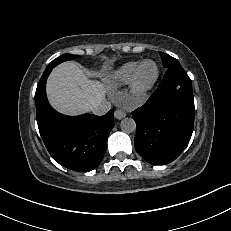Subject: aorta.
I'll list each match as a JSON object with an SVG mask.
<instances>
[{"label": "aorta", "mask_w": 231, "mask_h": 231, "mask_svg": "<svg viewBox=\"0 0 231 231\" xmlns=\"http://www.w3.org/2000/svg\"><path fill=\"white\" fill-rule=\"evenodd\" d=\"M120 128L125 133H132L136 130V123L132 118H124L121 121Z\"/></svg>", "instance_id": "762f6f07"}]
</instances>
